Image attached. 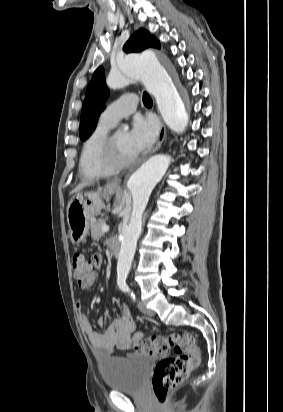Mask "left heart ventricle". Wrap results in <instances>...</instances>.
<instances>
[{
	"mask_svg": "<svg viewBox=\"0 0 283 412\" xmlns=\"http://www.w3.org/2000/svg\"><path fill=\"white\" fill-rule=\"evenodd\" d=\"M118 155L121 160H129L135 155V151L131 147L129 133L127 131H118L116 135Z\"/></svg>",
	"mask_w": 283,
	"mask_h": 412,
	"instance_id": "obj_1",
	"label": "left heart ventricle"
}]
</instances>
